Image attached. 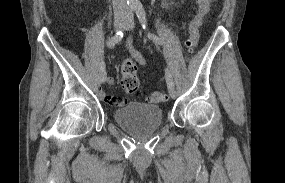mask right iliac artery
Segmentation results:
<instances>
[{"mask_svg": "<svg viewBox=\"0 0 285 183\" xmlns=\"http://www.w3.org/2000/svg\"><path fill=\"white\" fill-rule=\"evenodd\" d=\"M123 38V32L118 31L113 37H111L107 42V47L112 48L114 47L119 41ZM100 70L105 69V63L102 61L99 65Z\"/></svg>", "mask_w": 285, "mask_h": 183, "instance_id": "1", "label": "right iliac artery"}]
</instances>
